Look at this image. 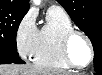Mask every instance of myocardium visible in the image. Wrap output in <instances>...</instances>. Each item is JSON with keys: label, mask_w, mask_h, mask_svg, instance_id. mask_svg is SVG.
Listing matches in <instances>:
<instances>
[{"label": "myocardium", "mask_w": 102, "mask_h": 75, "mask_svg": "<svg viewBox=\"0 0 102 75\" xmlns=\"http://www.w3.org/2000/svg\"><path fill=\"white\" fill-rule=\"evenodd\" d=\"M77 36H81L87 43L88 45V48H89V58H88V61L83 64V65H79L77 64L72 55H71V52H70V45H71V42L72 40L77 37ZM61 52H62V55L64 57V59L68 62V64L70 66H76V67H80V68H83V67H86L92 60V57H93V44L90 40V38L81 30H78V29H72L70 31H68L62 38L61 40Z\"/></svg>", "instance_id": "f54148a6"}]
</instances>
